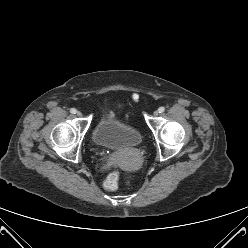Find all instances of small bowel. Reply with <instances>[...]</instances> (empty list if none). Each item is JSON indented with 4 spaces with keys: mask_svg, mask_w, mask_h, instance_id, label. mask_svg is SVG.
<instances>
[{
    "mask_svg": "<svg viewBox=\"0 0 248 248\" xmlns=\"http://www.w3.org/2000/svg\"><path fill=\"white\" fill-rule=\"evenodd\" d=\"M144 97L142 95H139V94H133L132 95V100L135 101V102H139L140 100H142ZM107 117L108 118H112L113 117V112L112 111H109L107 113Z\"/></svg>",
    "mask_w": 248,
    "mask_h": 248,
    "instance_id": "small-bowel-1",
    "label": "small bowel"
}]
</instances>
